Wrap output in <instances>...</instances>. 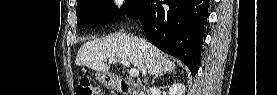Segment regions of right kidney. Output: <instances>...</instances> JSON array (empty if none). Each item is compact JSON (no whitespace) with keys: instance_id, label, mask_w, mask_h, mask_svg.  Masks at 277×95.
Returning <instances> with one entry per match:
<instances>
[{"instance_id":"1","label":"right kidney","mask_w":277,"mask_h":95,"mask_svg":"<svg viewBox=\"0 0 277 95\" xmlns=\"http://www.w3.org/2000/svg\"><path fill=\"white\" fill-rule=\"evenodd\" d=\"M182 94V85L173 84L169 89V95H181Z\"/></svg>"}]
</instances>
